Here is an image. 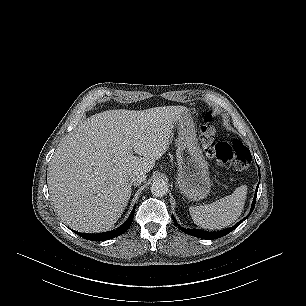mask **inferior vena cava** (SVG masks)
Segmentation results:
<instances>
[{
    "mask_svg": "<svg viewBox=\"0 0 306 306\" xmlns=\"http://www.w3.org/2000/svg\"><path fill=\"white\" fill-rule=\"evenodd\" d=\"M146 180V175L141 171H134L128 177V182L130 185H140L142 182Z\"/></svg>",
    "mask_w": 306,
    "mask_h": 306,
    "instance_id": "inferior-vena-cava-1",
    "label": "inferior vena cava"
}]
</instances>
